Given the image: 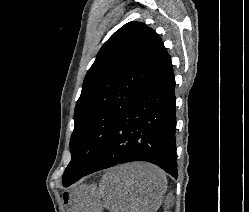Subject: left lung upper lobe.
<instances>
[{
	"label": "left lung upper lobe",
	"instance_id": "obj_1",
	"mask_svg": "<svg viewBox=\"0 0 249 212\" xmlns=\"http://www.w3.org/2000/svg\"><path fill=\"white\" fill-rule=\"evenodd\" d=\"M167 56L158 34L140 22L125 24L101 47L75 107L65 187L92 167L126 108Z\"/></svg>",
	"mask_w": 249,
	"mask_h": 212
}]
</instances>
